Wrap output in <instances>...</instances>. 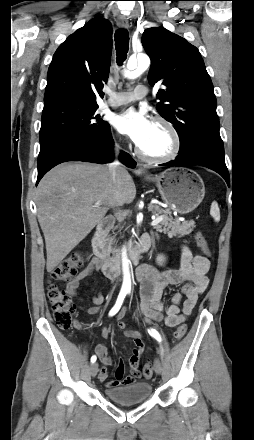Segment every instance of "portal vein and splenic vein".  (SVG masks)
<instances>
[{"instance_id": "18ae733b", "label": "portal vein and splenic vein", "mask_w": 254, "mask_h": 440, "mask_svg": "<svg viewBox=\"0 0 254 440\" xmlns=\"http://www.w3.org/2000/svg\"><path fill=\"white\" fill-rule=\"evenodd\" d=\"M101 205V202H96L94 206H99ZM166 218V216L161 215L158 216L157 218L153 219V221L150 223L151 226H156L158 225L161 221H163Z\"/></svg>"}]
</instances>
